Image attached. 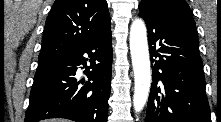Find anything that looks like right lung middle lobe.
Listing matches in <instances>:
<instances>
[{"label":"right lung middle lobe","mask_w":221,"mask_h":122,"mask_svg":"<svg viewBox=\"0 0 221 122\" xmlns=\"http://www.w3.org/2000/svg\"><path fill=\"white\" fill-rule=\"evenodd\" d=\"M46 61H39L38 65L45 63Z\"/></svg>","instance_id":"dd1d6c3e"}]
</instances>
